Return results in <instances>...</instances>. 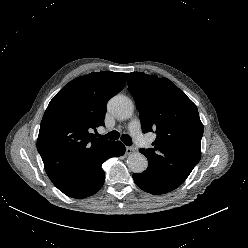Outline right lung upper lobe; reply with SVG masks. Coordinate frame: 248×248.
Returning <instances> with one entry per match:
<instances>
[{
    "instance_id": "right-lung-upper-lobe-1",
    "label": "right lung upper lobe",
    "mask_w": 248,
    "mask_h": 248,
    "mask_svg": "<svg viewBox=\"0 0 248 248\" xmlns=\"http://www.w3.org/2000/svg\"><path fill=\"white\" fill-rule=\"evenodd\" d=\"M126 79L127 73L93 72L66 84L50 101L37 150L56 187L99 160L113 142L96 138L92 131L104 125L106 104L124 88Z\"/></svg>"
}]
</instances>
